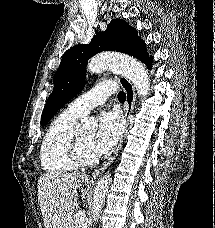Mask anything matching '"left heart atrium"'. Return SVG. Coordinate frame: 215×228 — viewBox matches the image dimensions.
<instances>
[{
  "instance_id": "39dd6f15",
  "label": "left heart atrium",
  "mask_w": 215,
  "mask_h": 228,
  "mask_svg": "<svg viewBox=\"0 0 215 228\" xmlns=\"http://www.w3.org/2000/svg\"><path fill=\"white\" fill-rule=\"evenodd\" d=\"M123 120L116 112H105L99 117L98 131L93 139L92 149L96 156L112 148L121 138Z\"/></svg>"
}]
</instances>
